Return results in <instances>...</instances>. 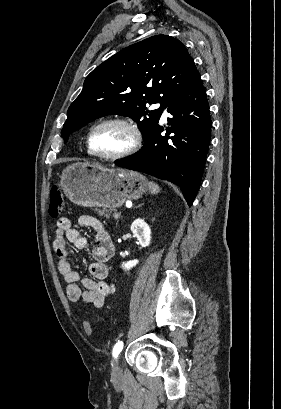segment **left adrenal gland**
Wrapping results in <instances>:
<instances>
[{
  "label": "left adrenal gland",
  "instance_id": "1",
  "mask_svg": "<svg viewBox=\"0 0 281 409\" xmlns=\"http://www.w3.org/2000/svg\"><path fill=\"white\" fill-rule=\"evenodd\" d=\"M141 205H143V202H141ZM141 205H138V207H141ZM136 209H137V207H136Z\"/></svg>",
  "mask_w": 281,
  "mask_h": 409
}]
</instances>
